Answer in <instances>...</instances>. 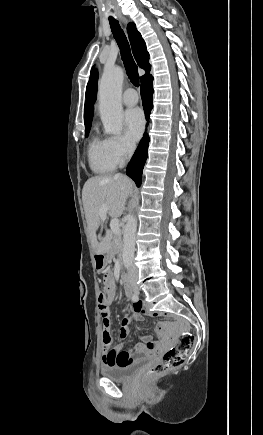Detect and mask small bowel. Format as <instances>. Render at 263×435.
<instances>
[{"instance_id":"1","label":"small bowel","mask_w":263,"mask_h":435,"mask_svg":"<svg viewBox=\"0 0 263 435\" xmlns=\"http://www.w3.org/2000/svg\"><path fill=\"white\" fill-rule=\"evenodd\" d=\"M104 290V299L102 302H99L103 329L111 327L109 307L113 303L117 293L114 274L111 271H107L104 274ZM144 311L143 304L138 302L134 304L133 312L122 319L119 327V336L122 339L128 337L129 323L131 321H142V313H144ZM142 340L144 343L138 345L133 350H123V344L117 345L114 350H103L102 360L104 365H126L143 358L154 357L160 354L167 347L168 343H170V338H162V341H154L150 336H143Z\"/></svg>"}]
</instances>
